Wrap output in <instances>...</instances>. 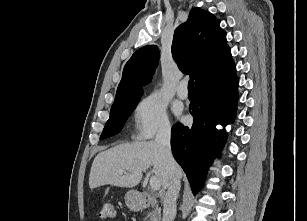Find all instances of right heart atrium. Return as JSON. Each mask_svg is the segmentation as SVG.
Returning <instances> with one entry per match:
<instances>
[{
	"instance_id": "obj_1",
	"label": "right heart atrium",
	"mask_w": 307,
	"mask_h": 221,
	"mask_svg": "<svg viewBox=\"0 0 307 221\" xmlns=\"http://www.w3.org/2000/svg\"><path fill=\"white\" fill-rule=\"evenodd\" d=\"M134 120L135 137L140 140H148L171 131L166 104L156 93L140 100L134 109Z\"/></svg>"
}]
</instances>
